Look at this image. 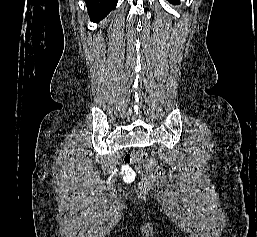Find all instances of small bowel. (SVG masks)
<instances>
[{"mask_svg": "<svg viewBox=\"0 0 257 237\" xmlns=\"http://www.w3.org/2000/svg\"><path fill=\"white\" fill-rule=\"evenodd\" d=\"M121 172L124 176V179L125 180H133L135 175H134V172L132 171V169L127 166V165H124L122 168H121Z\"/></svg>", "mask_w": 257, "mask_h": 237, "instance_id": "obj_1", "label": "small bowel"}]
</instances>
